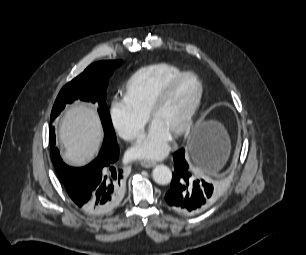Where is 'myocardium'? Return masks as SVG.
Returning <instances> with one entry per match:
<instances>
[{
  "instance_id": "f54148a6",
  "label": "myocardium",
  "mask_w": 306,
  "mask_h": 255,
  "mask_svg": "<svg viewBox=\"0 0 306 255\" xmlns=\"http://www.w3.org/2000/svg\"><path fill=\"white\" fill-rule=\"evenodd\" d=\"M187 78H193L197 84H198V94L196 96V99L194 103L192 104L191 108L189 109L184 121L181 123V125L174 130L173 135L174 136H180L186 131L189 130V128L192 126L196 115L200 109V106L202 104L203 96H204V86L201 81V79L193 72H183L179 76L175 77L173 80H171L163 89L162 91L157 95V97L152 102L147 117L149 121L153 122V118L156 115V113L161 109V107L166 103L168 98L171 96V94L174 92V90L178 87L180 83H182Z\"/></svg>"
}]
</instances>
